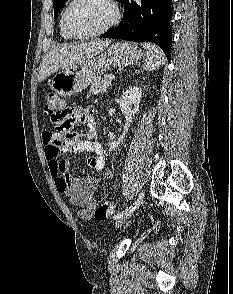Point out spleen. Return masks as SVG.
I'll return each mask as SVG.
<instances>
[{"label": "spleen", "instance_id": "1", "mask_svg": "<svg viewBox=\"0 0 233 294\" xmlns=\"http://www.w3.org/2000/svg\"><path fill=\"white\" fill-rule=\"evenodd\" d=\"M142 46L146 50V59L143 63L145 71L156 70L164 64L165 58L159 47L151 43H143Z\"/></svg>", "mask_w": 233, "mask_h": 294}]
</instances>
